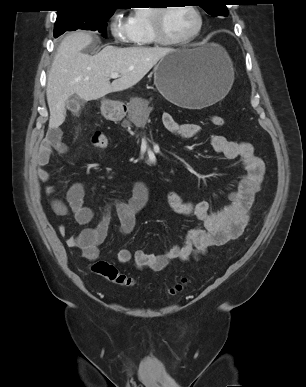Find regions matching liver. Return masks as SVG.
<instances>
[{"label":"liver","instance_id":"1","mask_svg":"<svg viewBox=\"0 0 306 387\" xmlns=\"http://www.w3.org/2000/svg\"><path fill=\"white\" fill-rule=\"evenodd\" d=\"M93 41L89 33L78 31L60 43L48 75L46 96L50 110L49 128H58L65 120V104L73 95L84 101L136 85L172 48L105 46L89 55L83 50ZM111 73L119 77L110 83Z\"/></svg>","mask_w":306,"mask_h":387}]
</instances>
